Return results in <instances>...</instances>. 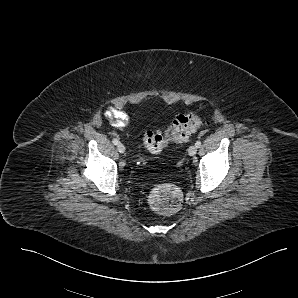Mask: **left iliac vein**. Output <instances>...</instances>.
Listing matches in <instances>:
<instances>
[{
  "mask_svg": "<svg viewBox=\"0 0 298 298\" xmlns=\"http://www.w3.org/2000/svg\"><path fill=\"white\" fill-rule=\"evenodd\" d=\"M196 152H197V147H196V145H192V146H190V147L188 148V154H189L190 156H194V155L196 154Z\"/></svg>",
  "mask_w": 298,
  "mask_h": 298,
  "instance_id": "left-iliac-vein-1",
  "label": "left iliac vein"
}]
</instances>
